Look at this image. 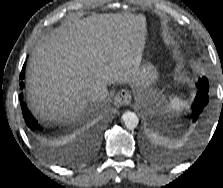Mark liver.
<instances>
[{
  "instance_id": "6515ba94",
  "label": "liver",
  "mask_w": 223,
  "mask_h": 188,
  "mask_svg": "<svg viewBox=\"0 0 223 188\" xmlns=\"http://www.w3.org/2000/svg\"><path fill=\"white\" fill-rule=\"evenodd\" d=\"M144 15L96 14L55 29L33 50L27 67L31 108L56 123L78 118L96 82L140 84Z\"/></svg>"
}]
</instances>
